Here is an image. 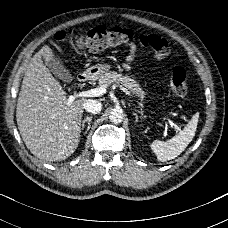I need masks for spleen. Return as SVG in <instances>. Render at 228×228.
<instances>
[{"mask_svg":"<svg viewBox=\"0 0 228 228\" xmlns=\"http://www.w3.org/2000/svg\"><path fill=\"white\" fill-rule=\"evenodd\" d=\"M198 124V115H194L188 124L177 135L166 142L159 140L151 144L152 151L161 162L172 160L179 156L193 140Z\"/></svg>","mask_w":228,"mask_h":228,"instance_id":"1","label":"spleen"}]
</instances>
